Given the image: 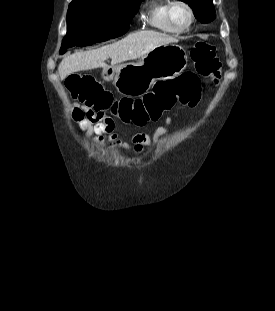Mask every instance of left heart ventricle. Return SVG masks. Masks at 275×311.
<instances>
[{
  "instance_id": "1",
  "label": "left heart ventricle",
  "mask_w": 275,
  "mask_h": 311,
  "mask_svg": "<svg viewBox=\"0 0 275 311\" xmlns=\"http://www.w3.org/2000/svg\"><path fill=\"white\" fill-rule=\"evenodd\" d=\"M171 17L177 27H184L189 21V13L182 5H176L172 8Z\"/></svg>"
}]
</instances>
